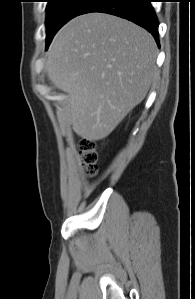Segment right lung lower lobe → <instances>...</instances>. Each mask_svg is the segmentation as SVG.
Segmentation results:
<instances>
[{
  "label": "right lung lower lobe",
  "mask_w": 195,
  "mask_h": 299,
  "mask_svg": "<svg viewBox=\"0 0 195 299\" xmlns=\"http://www.w3.org/2000/svg\"><path fill=\"white\" fill-rule=\"evenodd\" d=\"M103 12L127 19L150 32L157 44L158 19L150 0H90L78 14Z\"/></svg>",
  "instance_id": "right-lung-lower-lobe-1"
}]
</instances>
